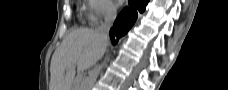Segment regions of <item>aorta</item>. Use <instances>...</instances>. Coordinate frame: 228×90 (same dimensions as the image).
<instances>
[{"instance_id": "762f6f07", "label": "aorta", "mask_w": 228, "mask_h": 90, "mask_svg": "<svg viewBox=\"0 0 228 90\" xmlns=\"http://www.w3.org/2000/svg\"><path fill=\"white\" fill-rule=\"evenodd\" d=\"M101 68L95 69L83 82L81 85V90H92L98 76L100 75Z\"/></svg>"}]
</instances>
